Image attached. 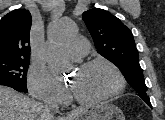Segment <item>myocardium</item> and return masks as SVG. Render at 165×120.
<instances>
[{
    "instance_id": "myocardium-1",
    "label": "myocardium",
    "mask_w": 165,
    "mask_h": 120,
    "mask_svg": "<svg viewBox=\"0 0 165 120\" xmlns=\"http://www.w3.org/2000/svg\"><path fill=\"white\" fill-rule=\"evenodd\" d=\"M99 65L108 67L114 73L116 80H117V84H116L115 88L108 94H106L102 97L96 98V99L82 98L79 95H77V93L71 88L72 97L77 103L82 104V105L101 104V103L107 102V101L113 99L114 97L118 96L124 90L125 78H124L121 70L118 68V66L116 64H114L113 62H111L107 59L96 58V59L85 61L84 63L81 64L80 69L84 70V69H88V68L99 66Z\"/></svg>"
}]
</instances>
